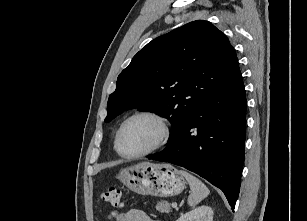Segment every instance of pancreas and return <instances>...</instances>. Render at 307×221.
Returning <instances> with one entry per match:
<instances>
[{
  "label": "pancreas",
  "instance_id": "cf45deb5",
  "mask_svg": "<svg viewBox=\"0 0 307 221\" xmlns=\"http://www.w3.org/2000/svg\"><path fill=\"white\" fill-rule=\"evenodd\" d=\"M156 209H157L159 212H162V213H169V212H171L170 203L167 202V201L157 202V204H156Z\"/></svg>",
  "mask_w": 307,
  "mask_h": 221
}]
</instances>
